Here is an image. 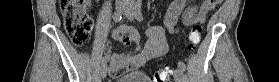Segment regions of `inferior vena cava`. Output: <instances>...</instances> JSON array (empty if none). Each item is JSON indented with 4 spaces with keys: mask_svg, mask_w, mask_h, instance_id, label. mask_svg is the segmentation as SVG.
<instances>
[{
    "mask_svg": "<svg viewBox=\"0 0 279 82\" xmlns=\"http://www.w3.org/2000/svg\"><path fill=\"white\" fill-rule=\"evenodd\" d=\"M124 2V6H126V11L130 12L133 7V1L132 0H122Z\"/></svg>",
    "mask_w": 279,
    "mask_h": 82,
    "instance_id": "inferior-vena-cava-1",
    "label": "inferior vena cava"
}]
</instances>
